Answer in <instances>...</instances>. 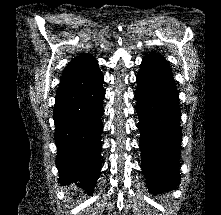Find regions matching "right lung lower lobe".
<instances>
[{"label":"right lung lower lobe","mask_w":221,"mask_h":215,"mask_svg":"<svg viewBox=\"0 0 221 215\" xmlns=\"http://www.w3.org/2000/svg\"><path fill=\"white\" fill-rule=\"evenodd\" d=\"M104 94L103 76L98 68L60 84L53 111L59 182H79L78 186L90 193L101 169Z\"/></svg>","instance_id":"right-lung-lower-lobe-1"}]
</instances>
